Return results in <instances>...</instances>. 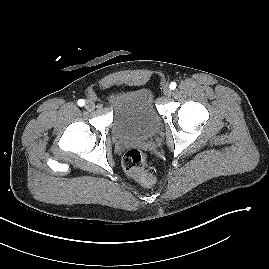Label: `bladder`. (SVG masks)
<instances>
[{
	"label": "bladder",
	"instance_id": "31cf9c89",
	"mask_svg": "<svg viewBox=\"0 0 269 269\" xmlns=\"http://www.w3.org/2000/svg\"><path fill=\"white\" fill-rule=\"evenodd\" d=\"M113 108L112 130L122 140L152 137L160 127L152 92L145 86L118 90L110 95Z\"/></svg>",
	"mask_w": 269,
	"mask_h": 269
}]
</instances>
